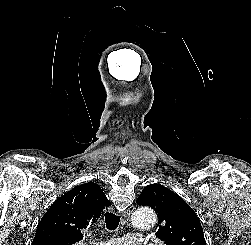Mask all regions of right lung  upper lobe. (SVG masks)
Here are the masks:
<instances>
[{"label":"right lung upper lobe","instance_id":"right-lung-upper-lobe-1","mask_svg":"<svg viewBox=\"0 0 251 245\" xmlns=\"http://www.w3.org/2000/svg\"><path fill=\"white\" fill-rule=\"evenodd\" d=\"M110 206L102 189L93 182L81 184L57 199L38 224L32 245H72L82 230L94 225Z\"/></svg>","mask_w":251,"mask_h":245}]
</instances>
